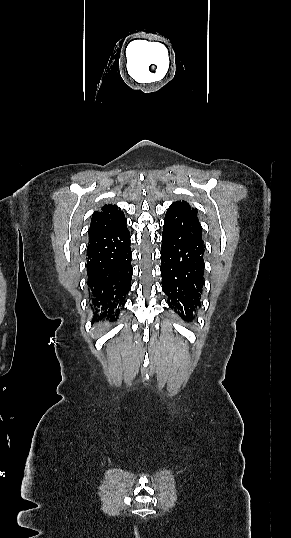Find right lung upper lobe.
<instances>
[{"instance_id": "1", "label": "right lung upper lobe", "mask_w": 291, "mask_h": 538, "mask_svg": "<svg viewBox=\"0 0 291 538\" xmlns=\"http://www.w3.org/2000/svg\"><path fill=\"white\" fill-rule=\"evenodd\" d=\"M126 221L125 215L116 205H104L101 211H95L91 218L89 235L112 228Z\"/></svg>"}]
</instances>
